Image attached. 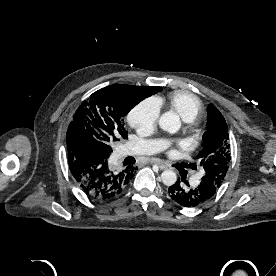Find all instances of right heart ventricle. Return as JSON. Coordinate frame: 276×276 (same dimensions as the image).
Instances as JSON below:
<instances>
[{"mask_svg":"<svg viewBox=\"0 0 276 276\" xmlns=\"http://www.w3.org/2000/svg\"><path fill=\"white\" fill-rule=\"evenodd\" d=\"M167 101L169 106L186 121L194 120L202 111L200 100L188 92H175L168 96Z\"/></svg>","mask_w":276,"mask_h":276,"instance_id":"1","label":"right heart ventricle"}]
</instances>
